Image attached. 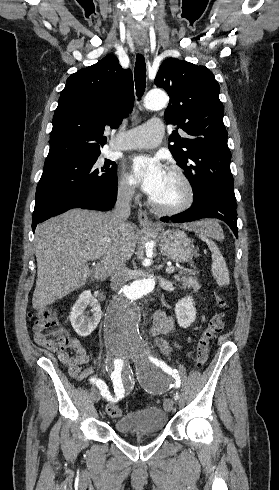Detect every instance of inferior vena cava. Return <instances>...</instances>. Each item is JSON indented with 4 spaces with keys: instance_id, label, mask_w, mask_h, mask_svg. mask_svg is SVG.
<instances>
[{
    "instance_id": "inferior-vena-cava-1",
    "label": "inferior vena cava",
    "mask_w": 279,
    "mask_h": 490,
    "mask_svg": "<svg viewBox=\"0 0 279 490\" xmlns=\"http://www.w3.org/2000/svg\"><path fill=\"white\" fill-rule=\"evenodd\" d=\"M133 194H135L133 188H129V186L121 188L118 192L114 210L109 214L110 226L118 228L121 232H124V228L130 226L127 220L130 216L129 204ZM124 234L127 236V232H124ZM128 280L129 268H126V262H123V260H121V262H116L113 272H111V290H113V292L121 290Z\"/></svg>"
}]
</instances>
